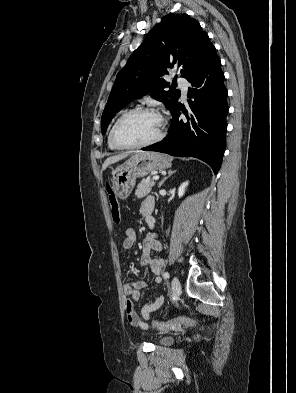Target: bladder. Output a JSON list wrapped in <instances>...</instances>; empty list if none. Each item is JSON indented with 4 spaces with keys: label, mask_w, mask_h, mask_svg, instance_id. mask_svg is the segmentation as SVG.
<instances>
[{
    "label": "bladder",
    "mask_w": 296,
    "mask_h": 393,
    "mask_svg": "<svg viewBox=\"0 0 296 393\" xmlns=\"http://www.w3.org/2000/svg\"><path fill=\"white\" fill-rule=\"evenodd\" d=\"M174 341V337L170 335L160 336L157 339V343L161 346H170L174 343Z\"/></svg>",
    "instance_id": "31cf9c89"
}]
</instances>
